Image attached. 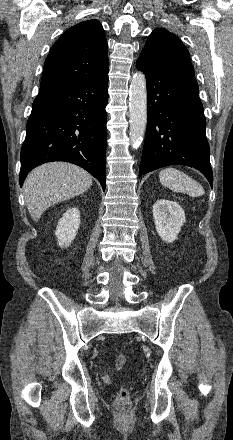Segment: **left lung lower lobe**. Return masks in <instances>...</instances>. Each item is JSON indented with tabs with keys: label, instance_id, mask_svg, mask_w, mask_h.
<instances>
[{
	"label": "left lung lower lobe",
	"instance_id": "0a47b994",
	"mask_svg": "<svg viewBox=\"0 0 233 440\" xmlns=\"http://www.w3.org/2000/svg\"><path fill=\"white\" fill-rule=\"evenodd\" d=\"M146 75L148 122L139 177L168 165L201 171L213 185L206 121L194 76L165 70L139 56Z\"/></svg>",
	"mask_w": 233,
	"mask_h": 440
}]
</instances>
